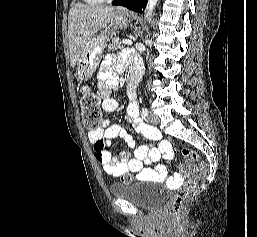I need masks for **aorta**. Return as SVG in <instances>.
<instances>
[{
	"mask_svg": "<svg viewBox=\"0 0 257 237\" xmlns=\"http://www.w3.org/2000/svg\"><path fill=\"white\" fill-rule=\"evenodd\" d=\"M157 3H158V0H148L147 7H146V10H145V19L148 20V18H150V16L152 15Z\"/></svg>",
	"mask_w": 257,
	"mask_h": 237,
	"instance_id": "aorta-1",
	"label": "aorta"
}]
</instances>
